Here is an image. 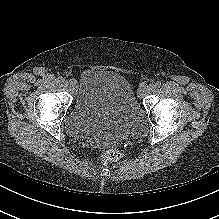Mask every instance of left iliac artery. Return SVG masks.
<instances>
[{"mask_svg":"<svg viewBox=\"0 0 219 219\" xmlns=\"http://www.w3.org/2000/svg\"><path fill=\"white\" fill-rule=\"evenodd\" d=\"M161 86V82L157 81L155 82V84L153 85V88H159Z\"/></svg>","mask_w":219,"mask_h":219,"instance_id":"1","label":"left iliac artery"}]
</instances>
